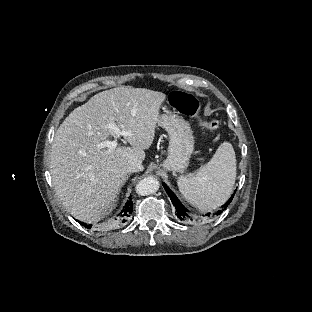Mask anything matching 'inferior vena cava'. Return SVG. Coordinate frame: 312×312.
I'll use <instances>...</instances> for the list:
<instances>
[{"label": "inferior vena cava", "mask_w": 312, "mask_h": 312, "mask_svg": "<svg viewBox=\"0 0 312 312\" xmlns=\"http://www.w3.org/2000/svg\"><path fill=\"white\" fill-rule=\"evenodd\" d=\"M144 167L140 161H133L128 165V173L143 171Z\"/></svg>", "instance_id": "1"}]
</instances>
